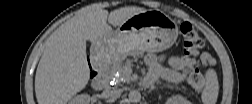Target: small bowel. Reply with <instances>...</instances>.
<instances>
[{"mask_svg":"<svg viewBox=\"0 0 252 104\" xmlns=\"http://www.w3.org/2000/svg\"><path fill=\"white\" fill-rule=\"evenodd\" d=\"M164 60V57L155 54L147 55L146 63L149 67V71L144 79L145 84L150 85L158 78H163L169 82H179L184 79L187 67L182 58L177 56L168 58L167 62L169 67L166 68L161 66Z\"/></svg>","mask_w":252,"mask_h":104,"instance_id":"1","label":"small bowel"}]
</instances>
